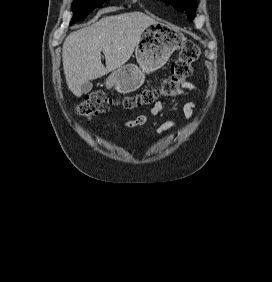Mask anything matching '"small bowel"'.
I'll list each match as a JSON object with an SVG mask.
<instances>
[{"mask_svg":"<svg viewBox=\"0 0 272 282\" xmlns=\"http://www.w3.org/2000/svg\"><path fill=\"white\" fill-rule=\"evenodd\" d=\"M196 89L197 88L194 84L187 82L182 85V88L179 90L178 93L181 97H187L191 91H194ZM195 107L196 105L193 102H188L185 104L183 111L187 118H191L193 116ZM161 111H162V105L161 103L157 102L150 109L149 113L152 115H157L161 113ZM147 120H148V115L142 114V115L137 116L134 119L127 120L126 122H124L123 126L126 128H135V127L144 125L147 122ZM175 126H176L175 122L167 121L158 129L157 134L159 136H162L166 131H168L169 129Z\"/></svg>","mask_w":272,"mask_h":282,"instance_id":"c3829d8e","label":"small bowel"}]
</instances>
